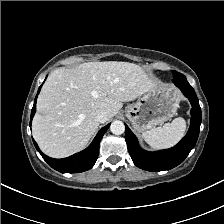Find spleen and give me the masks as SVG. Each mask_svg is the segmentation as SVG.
<instances>
[{
    "instance_id": "obj_1",
    "label": "spleen",
    "mask_w": 224,
    "mask_h": 224,
    "mask_svg": "<svg viewBox=\"0 0 224 224\" xmlns=\"http://www.w3.org/2000/svg\"><path fill=\"white\" fill-rule=\"evenodd\" d=\"M186 122L182 117L175 118L171 123L153 128L142 133L143 140L154 149L174 146L185 134Z\"/></svg>"
}]
</instances>
